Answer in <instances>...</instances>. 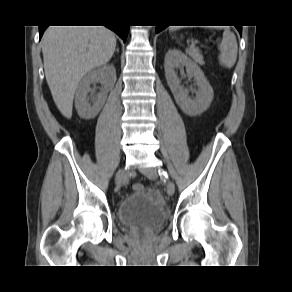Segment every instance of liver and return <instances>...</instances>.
<instances>
[{
  "mask_svg": "<svg viewBox=\"0 0 292 292\" xmlns=\"http://www.w3.org/2000/svg\"><path fill=\"white\" fill-rule=\"evenodd\" d=\"M41 45L53 100L62 115L70 119L80 80L111 59L115 34L104 26H50Z\"/></svg>",
  "mask_w": 292,
  "mask_h": 292,
  "instance_id": "1",
  "label": "liver"
}]
</instances>
